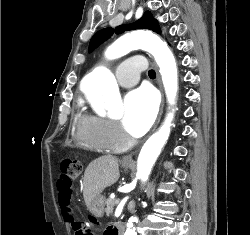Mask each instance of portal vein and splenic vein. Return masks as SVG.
<instances>
[{"instance_id": "obj_1", "label": "portal vein and splenic vein", "mask_w": 250, "mask_h": 235, "mask_svg": "<svg viewBox=\"0 0 250 235\" xmlns=\"http://www.w3.org/2000/svg\"><path fill=\"white\" fill-rule=\"evenodd\" d=\"M119 202H120V199H116L115 203L119 204Z\"/></svg>"}]
</instances>
